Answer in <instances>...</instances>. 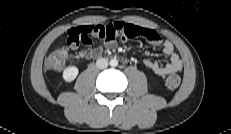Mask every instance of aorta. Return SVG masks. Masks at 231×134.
<instances>
[{"label":"aorta","mask_w":231,"mask_h":134,"mask_svg":"<svg viewBox=\"0 0 231 134\" xmlns=\"http://www.w3.org/2000/svg\"><path fill=\"white\" fill-rule=\"evenodd\" d=\"M118 65V61H117V59H111L110 60V66H112V67H116Z\"/></svg>","instance_id":"762f6f07"}]
</instances>
